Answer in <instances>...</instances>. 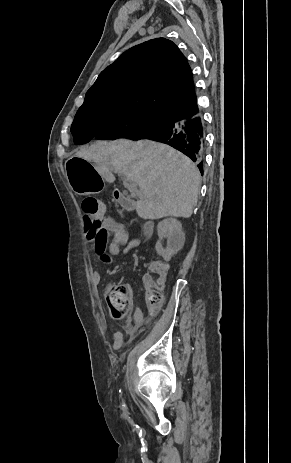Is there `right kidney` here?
Segmentation results:
<instances>
[{"instance_id":"1","label":"right kidney","mask_w":291,"mask_h":463,"mask_svg":"<svg viewBox=\"0 0 291 463\" xmlns=\"http://www.w3.org/2000/svg\"><path fill=\"white\" fill-rule=\"evenodd\" d=\"M158 236L160 241L156 244V251L165 260H169L184 245L185 234L182 231V224L174 218H167L158 223ZM167 239V247L163 248L161 240Z\"/></svg>"}]
</instances>
